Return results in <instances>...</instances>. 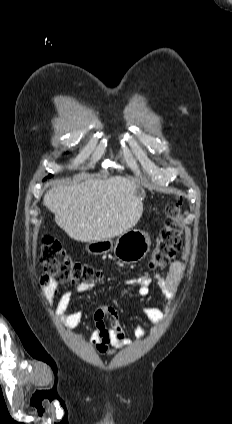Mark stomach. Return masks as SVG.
<instances>
[{
  "label": "stomach",
  "instance_id": "1",
  "mask_svg": "<svg viewBox=\"0 0 232 424\" xmlns=\"http://www.w3.org/2000/svg\"><path fill=\"white\" fill-rule=\"evenodd\" d=\"M144 194L143 189L138 190ZM151 240L148 233L136 229H130L121 234L115 242L111 239L92 241L86 245L90 254L101 255L111 251L125 263H136L142 260L150 250Z\"/></svg>",
  "mask_w": 232,
  "mask_h": 424
}]
</instances>
